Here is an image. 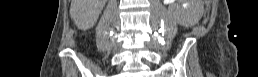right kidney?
Listing matches in <instances>:
<instances>
[{
	"label": "right kidney",
	"instance_id": "obj_1",
	"mask_svg": "<svg viewBox=\"0 0 258 77\" xmlns=\"http://www.w3.org/2000/svg\"><path fill=\"white\" fill-rule=\"evenodd\" d=\"M105 2H106V0H101V5H100L99 7H97V8H95V9H93V10L90 11V12L92 13V18H91V21H90V23H89L88 25L83 26V25H81V24L79 23V26H80L81 28H84V29L89 28L90 26H92L93 23L96 21V19H97L99 13L101 12L102 7H103V5H104Z\"/></svg>",
	"mask_w": 258,
	"mask_h": 77
}]
</instances>
